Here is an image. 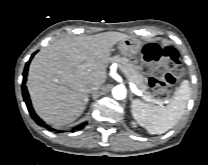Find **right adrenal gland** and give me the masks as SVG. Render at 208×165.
<instances>
[{"label": "right adrenal gland", "mask_w": 208, "mask_h": 165, "mask_svg": "<svg viewBox=\"0 0 208 165\" xmlns=\"http://www.w3.org/2000/svg\"><path fill=\"white\" fill-rule=\"evenodd\" d=\"M88 103V98H87V100H86V104Z\"/></svg>", "instance_id": "1"}]
</instances>
